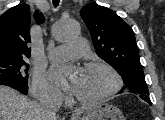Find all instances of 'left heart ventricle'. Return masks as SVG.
<instances>
[{
	"label": "left heart ventricle",
	"instance_id": "1",
	"mask_svg": "<svg viewBox=\"0 0 165 120\" xmlns=\"http://www.w3.org/2000/svg\"><path fill=\"white\" fill-rule=\"evenodd\" d=\"M113 79L104 69H84L75 90V95L83 99L96 98L110 89Z\"/></svg>",
	"mask_w": 165,
	"mask_h": 120
}]
</instances>
